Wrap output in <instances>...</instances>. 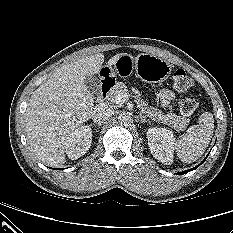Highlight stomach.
<instances>
[{"mask_svg": "<svg viewBox=\"0 0 233 233\" xmlns=\"http://www.w3.org/2000/svg\"><path fill=\"white\" fill-rule=\"evenodd\" d=\"M124 65L127 68L134 66L137 77L148 83L165 81L172 70V66L168 61L151 54H139L136 57L124 54L118 59L115 67L118 69ZM110 70L112 71L111 68Z\"/></svg>", "mask_w": 233, "mask_h": 233, "instance_id": "obj_1", "label": "stomach"}]
</instances>
